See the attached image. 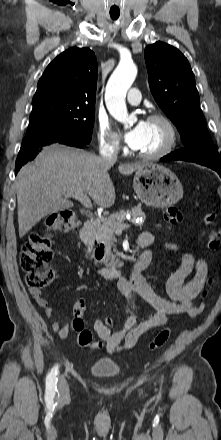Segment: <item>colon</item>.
<instances>
[{
    "label": "colon",
    "instance_id": "obj_1",
    "mask_svg": "<svg viewBox=\"0 0 221 440\" xmlns=\"http://www.w3.org/2000/svg\"><path fill=\"white\" fill-rule=\"evenodd\" d=\"M165 221L170 225H178L182 221V213L176 207H170L165 210ZM215 215L208 213L204 217L206 224L215 222ZM80 225V220L76 214L71 211H61L54 213L47 219V227L51 231L71 232ZM220 237L214 230L210 231L207 239V247L215 251L220 246ZM53 258L51 248V239L46 233L33 232L28 240L23 244L20 253V266L25 273L26 283L30 288L41 289L48 286L55 277L54 270L50 267ZM206 292L202 293V297ZM86 311L84 301H78L73 307L72 327L77 333L78 343L82 347L100 346V342H95L92 333L85 328L83 316ZM102 323L106 329H115L116 321L113 315H103ZM170 336V330L165 328L161 330L150 342L149 348L155 350L166 344Z\"/></svg>",
    "mask_w": 221,
    "mask_h": 440
}]
</instances>
